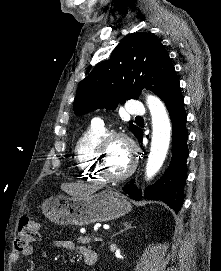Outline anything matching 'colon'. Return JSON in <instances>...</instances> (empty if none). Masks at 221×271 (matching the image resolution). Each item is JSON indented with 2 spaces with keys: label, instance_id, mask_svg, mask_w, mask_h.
<instances>
[{
  "label": "colon",
  "instance_id": "colon-1",
  "mask_svg": "<svg viewBox=\"0 0 221 271\" xmlns=\"http://www.w3.org/2000/svg\"><path fill=\"white\" fill-rule=\"evenodd\" d=\"M41 227V220L23 217L15 239V248L18 251H25L34 244L39 239Z\"/></svg>",
  "mask_w": 221,
  "mask_h": 271
}]
</instances>
